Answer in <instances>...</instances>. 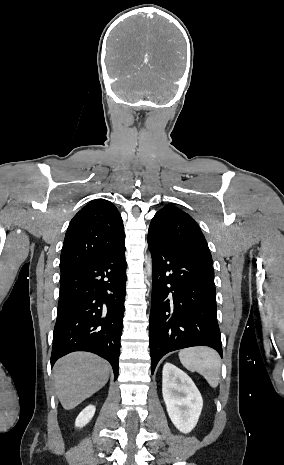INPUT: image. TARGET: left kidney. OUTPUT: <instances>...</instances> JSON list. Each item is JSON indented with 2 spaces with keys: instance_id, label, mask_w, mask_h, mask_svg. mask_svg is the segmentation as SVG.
I'll return each instance as SVG.
<instances>
[{
  "instance_id": "5707ae66",
  "label": "left kidney",
  "mask_w": 284,
  "mask_h": 465,
  "mask_svg": "<svg viewBox=\"0 0 284 465\" xmlns=\"http://www.w3.org/2000/svg\"><path fill=\"white\" fill-rule=\"evenodd\" d=\"M162 375V395L167 413L178 431L190 433L201 415V393L192 379L171 363H165Z\"/></svg>"
}]
</instances>
